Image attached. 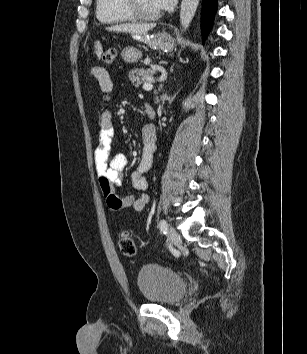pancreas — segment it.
Segmentation results:
<instances>
[{
  "instance_id": "obj_1",
  "label": "pancreas",
  "mask_w": 307,
  "mask_h": 354,
  "mask_svg": "<svg viewBox=\"0 0 307 354\" xmlns=\"http://www.w3.org/2000/svg\"><path fill=\"white\" fill-rule=\"evenodd\" d=\"M154 74V69L136 68L129 72V79L135 87H139L141 84L147 83L150 80L153 81Z\"/></svg>"
}]
</instances>
